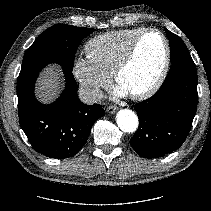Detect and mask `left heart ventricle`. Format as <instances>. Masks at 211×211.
I'll return each instance as SVG.
<instances>
[{"label": "left heart ventricle", "mask_w": 211, "mask_h": 211, "mask_svg": "<svg viewBox=\"0 0 211 211\" xmlns=\"http://www.w3.org/2000/svg\"><path fill=\"white\" fill-rule=\"evenodd\" d=\"M164 60V44L157 33L146 34L132 64L123 72L119 86L129 94L149 87L158 76Z\"/></svg>", "instance_id": "obj_1"}]
</instances>
